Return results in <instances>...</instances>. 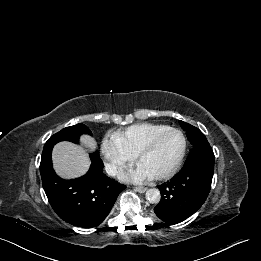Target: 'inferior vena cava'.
Wrapping results in <instances>:
<instances>
[{
  "label": "inferior vena cava",
  "mask_w": 261,
  "mask_h": 261,
  "mask_svg": "<svg viewBox=\"0 0 261 261\" xmlns=\"http://www.w3.org/2000/svg\"><path fill=\"white\" fill-rule=\"evenodd\" d=\"M105 171L109 176H118L123 173V168L116 163H106Z\"/></svg>",
  "instance_id": "1"
}]
</instances>
